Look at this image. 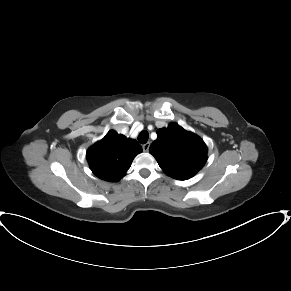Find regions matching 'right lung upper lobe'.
<instances>
[{
	"mask_svg": "<svg viewBox=\"0 0 291 291\" xmlns=\"http://www.w3.org/2000/svg\"><path fill=\"white\" fill-rule=\"evenodd\" d=\"M140 152L142 147L136 140L111 130L88 149L86 158L98 178L116 182L125 175L134 157Z\"/></svg>",
	"mask_w": 291,
	"mask_h": 291,
	"instance_id": "obj_1",
	"label": "right lung upper lobe"
}]
</instances>
